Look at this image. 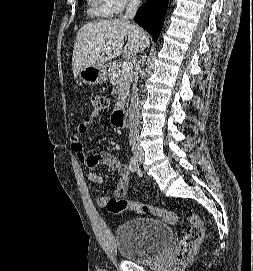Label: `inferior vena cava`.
<instances>
[{
    "label": "inferior vena cava",
    "mask_w": 253,
    "mask_h": 271,
    "mask_svg": "<svg viewBox=\"0 0 253 271\" xmlns=\"http://www.w3.org/2000/svg\"><path fill=\"white\" fill-rule=\"evenodd\" d=\"M140 4V0H130L126 13L123 17L124 20L132 19L137 11ZM139 118H140V104L139 97L137 93L136 85H134L132 90V97L129 107V119H130V144L133 152H141L140 140H139Z\"/></svg>",
    "instance_id": "1"
}]
</instances>
